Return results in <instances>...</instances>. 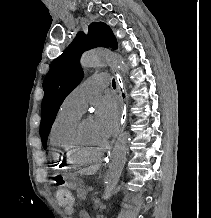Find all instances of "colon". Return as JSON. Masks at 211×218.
Returning a JSON list of instances; mask_svg holds the SVG:
<instances>
[{
  "instance_id": "5ec220e1",
  "label": "colon",
  "mask_w": 211,
  "mask_h": 218,
  "mask_svg": "<svg viewBox=\"0 0 211 218\" xmlns=\"http://www.w3.org/2000/svg\"><path fill=\"white\" fill-rule=\"evenodd\" d=\"M55 198L61 206H71L74 203V196L71 190L64 184L57 187L55 191Z\"/></svg>"
}]
</instances>
